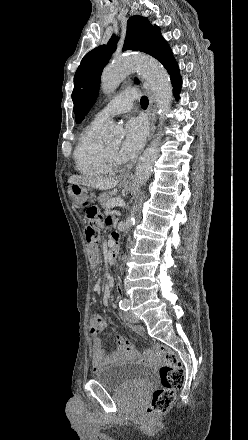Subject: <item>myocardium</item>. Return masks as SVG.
<instances>
[{"label":"myocardium","mask_w":248,"mask_h":440,"mask_svg":"<svg viewBox=\"0 0 248 440\" xmlns=\"http://www.w3.org/2000/svg\"><path fill=\"white\" fill-rule=\"evenodd\" d=\"M105 156L110 170H120L124 167V161L120 159L117 154L114 153L107 145H105Z\"/></svg>","instance_id":"f54148a6"}]
</instances>
